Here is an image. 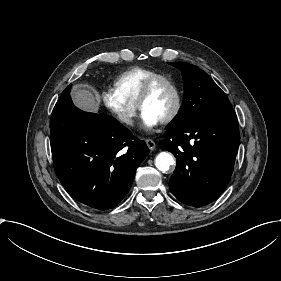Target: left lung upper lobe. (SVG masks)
Listing matches in <instances>:
<instances>
[{"label": "left lung upper lobe", "instance_id": "5c2ea615", "mask_svg": "<svg viewBox=\"0 0 281 281\" xmlns=\"http://www.w3.org/2000/svg\"><path fill=\"white\" fill-rule=\"evenodd\" d=\"M168 63L182 72L184 97L179 113L166 129L233 111L225 93L206 72L188 63Z\"/></svg>", "mask_w": 281, "mask_h": 281}]
</instances>
